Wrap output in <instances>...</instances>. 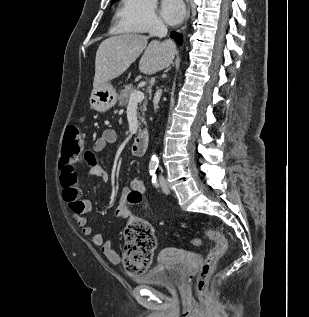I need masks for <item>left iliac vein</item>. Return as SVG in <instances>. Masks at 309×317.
<instances>
[{
    "instance_id": "4c4485c4",
    "label": "left iliac vein",
    "mask_w": 309,
    "mask_h": 317,
    "mask_svg": "<svg viewBox=\"0 0 309 317\" xmlns=\"http://www.w3.org/2000/svg\"><path fill=\"white\" fill-rule=\"evenodd\" d=\"M159 183L161 185L162 191L165 194H169L170 193V188H169V185H168L167 181L164 179V177H162V176L159 177Z\"/></svg>"
}]
</instances>
